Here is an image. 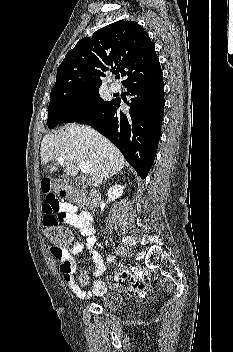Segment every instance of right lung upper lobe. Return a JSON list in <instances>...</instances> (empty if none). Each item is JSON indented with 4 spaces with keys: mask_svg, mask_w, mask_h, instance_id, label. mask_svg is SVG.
<instances>
[{
    "mask_svg": "<svg viewBox=\"0 0 233 352\" xmlns=\"http://www.w3.org/2000/svg\"><path fill=\"white\" fill-rule=\"evenodd\" d=\"M114 69L125 77L123 85L161 70L154 44L137 22L117 21L81 39L60 64L53 88L101 85Z\"/></svg>",
    "mask_w": 233,
    "mask_h": 352,
    "instance_id": "obj_1",
    "label": "right lung upper lobe"
}]
</instances>
